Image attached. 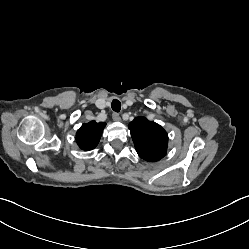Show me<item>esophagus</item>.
I'll list each match as a JSON object with an SVG mask.
<instances>
[{"instance_id":"esophagus-1","label":"esophagus","mask_w":249,"mask_h":249,"mask_svg":"<svg viewBox=\"0 0 249 249\" xmlns=\"http://www.w3.org/2000/svg\"><path fill=\"white\" fill-rule=\"evenodd\" d=\"M112 118L114 121H120L121 120V117L118 113H113L112 114Z\"/></svg>"}]
</instances>
